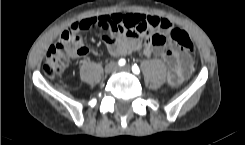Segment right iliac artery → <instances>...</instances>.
<instances>
[{
  "mask_svg": "<svg viewBox=\"0 0 245 145\" xmlns=\"http://www.w3.org/2000/svg\"><path fill=\"white\" fill-rule=\"evenodd\" d=\"M118 63L120 66H124L126 61L124 59H120Z\"/></svg>",
  "mask_w": 245,
  "mask_h": 145,
  "instance_id": "right-iliac-artery-1",
  "label": "right iliac artery"
}]
</instances>
